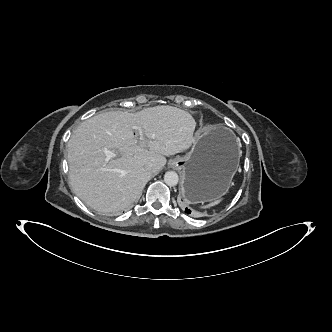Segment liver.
I'll return each mask as SVG.
<instances>
[{
    "mask_svg": "<svg viewBox=\"0 0 332 332\" xmlns=\"http://www.w3.org/2000/svg\"><path fill=\"white\" fill-rule=\"evenodd\" d=\"M195 127L188 112L165 105L137 113L109 111L89 118L67 144L73 191L97 211L126 209L142 194L152 173L163 169L166 156L186 151L196 142L200 133L194 135ZM106 149L115 156L108 159ZM148 163L153 164L152 171L146 170Z\"/></svg>",
    "mask_w": 332,
    "mask_h": 332,
    "instance_id": "6515ba94",
    "label": "liver"
}]
</instances>
